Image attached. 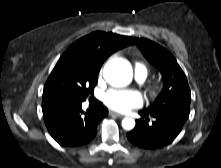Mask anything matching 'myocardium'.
Instances as JSON below:
<instances>
[{
	"label": "myocardium",
	"mask_w": 221,
	"mask_h": 168,
	"mask_svg": "<svg viewBox=\"0 0 221 168\" xmlns=\"http://www.w3.org/2000/svg\"><path fill=\"white\" fill-rule=\"evenodd\" d=\"M162 92V85L159 83H154L149 88V94L153 98H157Z\"/></svg>",
	"instance_id": "1"
}]
</instances>
